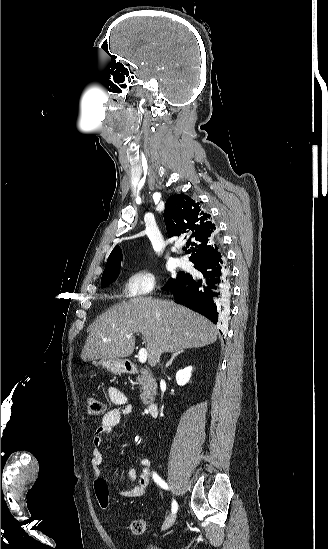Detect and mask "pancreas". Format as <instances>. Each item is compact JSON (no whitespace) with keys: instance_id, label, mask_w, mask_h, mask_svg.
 <instances>
[{"instance_id":"pancreas-1","label":"pancreas","mask_w":328,"mask_h":549,"mask_svg":"<svg viewBox=\"0 0 328 549\" xmlns=\"http://www.w3.org/2000/svg\"><path fill=\"white\" fill-rule=\"evenodd\" d=\"M137 381V385L140 387V399L142 403H150V399H153V395H156L157 383L155 379H152L151 375L145 369H140Z\"/></svg>"}]
</instances>
